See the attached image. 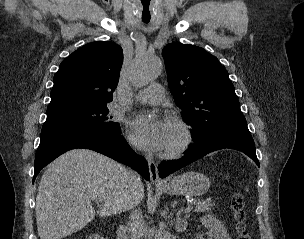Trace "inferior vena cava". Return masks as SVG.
<instances>
[{
    "instance_id": "1",
    "label": "inferior vena cava",
    "mask_w": 304,
    "mask_h": 239,
    "mask_svg": "<svg viewBox=\"0 0 304 239\" xmlns=\"http://www.w3.org/2000/svg\"><path fill=\"white\" fill-rule=\"evenodd\" d=\"M141 183L139 175L132 171H126V189L127 194H131L126 204L127 210H130L129 221L127 222V230L131 239H141L143 236V218L142 212L138 207L139 202L134 197L135 189Z\"/></svg>"
}]
</instances>
